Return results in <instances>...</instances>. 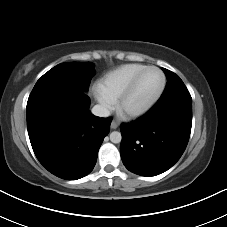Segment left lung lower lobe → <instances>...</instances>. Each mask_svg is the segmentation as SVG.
<instances>
[{
	"instance_id": "obj_1",
	"label": "left lung lower lobe",
	"mask_w": 227,
	"mask_h": 227,
	"mask_svg": "<svg viewBox=\"0 0 227 227\" xmlns=\"http://www.w3.org/2000/svg\"><path fill=\"white\" fill-rule=\"evenodd\" d=\"M191 126L192 102L156 103L141 118L121 125L123 164L142 176L165 172L185 151Z\"/></svg>"
}]
</instances>
